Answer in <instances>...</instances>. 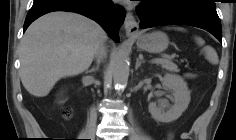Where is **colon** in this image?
<instances>
[{
    "label": "colon",
    "mask_w": 236,
    "mask_h": 140,
    "mask_svg": "<svg viewBox=\"0 0 236 140\" xmlns=\"http://www.w3.org/2000/svg\"><path fill=\"white\" fill-rule=\"evenodd\" d=\"M65 115H67V116H68V115H69V112H65Z\"/></svg>",
    "instance_id": "1"
}]
</instances>
